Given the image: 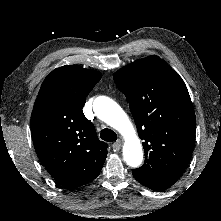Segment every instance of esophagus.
<instances>
[{
    "mask_svg": "<svg viewBox=\"0 0 221 221\" xmlns=\"http://www.w3.org/2000/svg\"><path fill=\"white\" fill-rule=\"evenodd\" d=\"M121 146H122V140L119 139L112 145V148L116 152L120 150Z\"/></svg>",
    "mask_w": 221,
    "mask_h": 221,
    "instance_id": "1",
    "label": "esophagus"
}]
</instances>
